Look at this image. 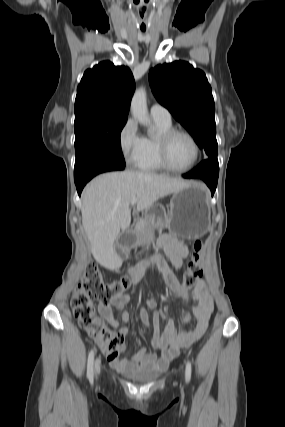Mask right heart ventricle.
<instances>
[{"instance_id": "obj_1", "label": "right heart ventricle", "mask_w": 285, "mask_h": 427, "mask_svg": "<svg viewBox=\"0 0 285 427\" xmlns=\"http://www.w3.org/2000/svg\"><path fill=\"white\" fill-rule=\"evenodd\" d=\"M159 134L157 136L143 137L141 151L136 159L135 165L138 169L147 172H160L164 170L158 154L159 135L172 128V123L155 120Z\"/></svg>"}]
</instances>
